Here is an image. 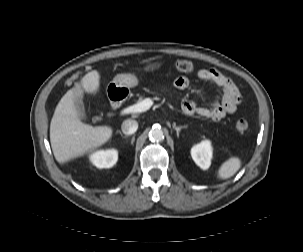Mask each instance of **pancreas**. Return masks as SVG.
Instances as JSON below:
<instances>
[{
  "instance_id": "1",
  "label": "pancreas",
  "mask_w": 303,
  "mask_h": 252,
  "mask_svg": "<svg viewBox=\"0 0 303 252\" xmlns=\"http://www.w3.org/2000/svg\"><path fill=\"white\" fill-rule=\"evenodd\" d=\"M144 100V96H138V102H141Z\"/></svg>"
}]
</instances>
